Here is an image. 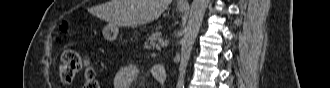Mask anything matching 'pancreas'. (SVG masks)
Instances as JSON below:
<instances>
[{
	"label": "pancreas",
	"instance_id": "cf45deb5",
	"mask_svg": "<svg viewBox=\"0 0 330 88\" xmlns=\"http://www.w3.org/2000/svg\"><path fill=\"white\" fill-rule=\"evenodd\" d=\"M161 38V33L155 32L152 33L145 42V46L147 48H159V45L157 44V41Z\"/></svg>",
	"mask_w": 330,
	"mask_h": 88
}]
</instances>
